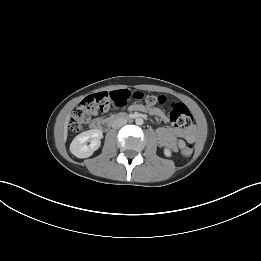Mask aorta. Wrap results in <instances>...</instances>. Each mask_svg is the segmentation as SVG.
I'll return each instance as SVG.
<instances>
[{"instance_id": "762f6f07", "label": "aorta", "mask_w": 261, "mask_h": 261, "mask_svg": "<svg viewBox=\"0 0 261 261\" xmlns=\"http://www.w3.org/2000/svg\"><path fill=\"white\" fill-rule=\"evenodd\" d=\"M135 122H136L137 125H142L143 124V119L142 118H137L135 120Z\"/></svg>"}]
</instances>
